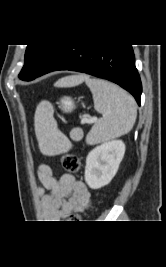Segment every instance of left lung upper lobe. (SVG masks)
I'll return each instance as SVG.
<instances>
[{
    "mask_svg": "<svg viewBox=\"0 0 166 267\" xmlns=\"http://www.w3.org/2000/svg\"><path fill=\"white\" fill-rule=\"evenodd\" d=\"M60 46L28 45L25 53L24 67L19 74V78L24 81H31L37 78L42 68Z\"/></svg>",
    "mask_w": 166,
    "mask_h": 267,
    "instance_id": "obj_1",
    "label": "left lung upper lobe"
}]
</instances>
